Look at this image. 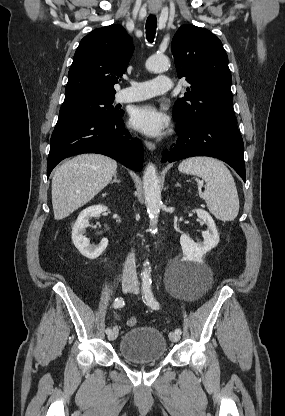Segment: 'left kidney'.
I'll return each mask as SVG.
<instances>
[{"label":"left kidney","mask_w":285,"mask_h":416,"mask_svg":"<svg viewBox=\"0 0 285 416\" xmlns=\"http://www.w3.org/2000/svg\"><path fill=\"white\" fill-rule=\"evenodd\" d=\"M194 212H196L198 218H201L208 226V230L202 232L203 242L197 244V242H193V240L189 238L188 234H182V236H180V244L184 254H187V256H204V254L210 252L212 248H216L219 242V234L215 222L208 212H205V210H194Z\"/></svg>","instance_id":"5707ae66"}]
</instances>
